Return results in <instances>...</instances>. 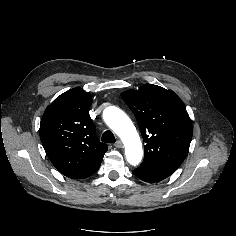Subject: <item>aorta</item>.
<instances>
[{
  "label": "aorta",
  "mask_w": 236,
  "mask_h": 236,
  "mask_svg": "<svg viewBox=\"0 0 236 236\" xmlns=\"http://www.w3.org/2000/svg\"><path fill=\"white\" fill-rule=\"evenodd\" d=\"M106 124L121 138L125 146L127 161L135 166L143 156L142 144L130 118L115 106L107 107L103 112Z\"/></svg>",
  "instance_id": "762f6f07"
}]
</instances>
